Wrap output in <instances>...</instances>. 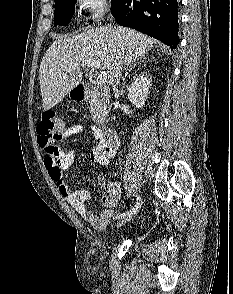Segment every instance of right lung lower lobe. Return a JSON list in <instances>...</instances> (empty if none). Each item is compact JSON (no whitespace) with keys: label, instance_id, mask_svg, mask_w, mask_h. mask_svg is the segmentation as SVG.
<instances>
[{"label":"right lung lower lobe","instance_id":"right-lung-lower-lobe-1","mask_svg":"<svg viewBox=\"0 0 233 294\" xmlns=\"http://www.w3.org/2000/svg\"><path fill=\"white\" fill-rule=\"evenodd\" d=\"M177 7V0H115L111 13L120 25L176 48L179 43Z\"/></svg>","mask_w":233,"mask_h":294}]
</instances>
